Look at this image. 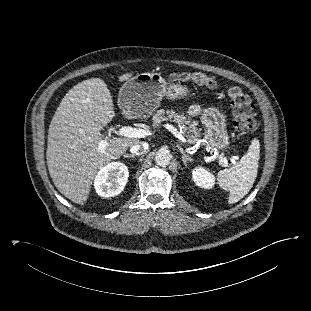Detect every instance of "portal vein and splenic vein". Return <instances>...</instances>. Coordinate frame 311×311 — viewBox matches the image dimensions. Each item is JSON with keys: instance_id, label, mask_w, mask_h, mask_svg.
I'll return each mask as SVG.
<instances>
[{"instance_id": "portal-vein-and-splenic-vein-1", "label": "portal vein and splenic vein", "mask_w": 311, "mask_h": 311, "mask_svg": "<svg viewBox=\"0 0 311 311\" xmlns=\"http://www.w3.org/2000/svg\"><path fill=\"white\" fill-rule=\"evenodd\" d=\"M165 127L171 131L172 134H174V136L176 138H178L181 142H184L186 143L187 140L184 138V136L182 135V132L181 131H178L177 128H175L174 126L172 125H165ZM116 135L118 136H124V137H131V138H144L146 136L149 135V131L147 130H144V129H140V128H132V127H129V126H122L118 131L115 132ZM108 137H106L107 139ZM107 145V141L106 140H103L100 142L99 144V149L102 151L105 149ZM236 160H237V157H232L230 158V161L232 162V164H236ZM222 166L223 167H227L228 166V162H227V159L226 158H223L222 160Z\"/></svg>"}]
</instances>
